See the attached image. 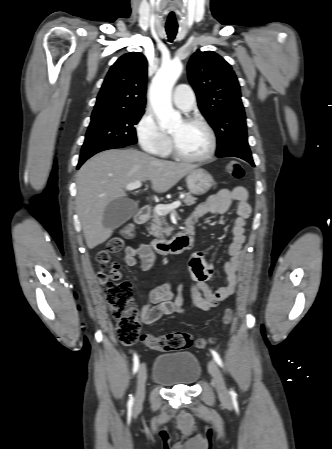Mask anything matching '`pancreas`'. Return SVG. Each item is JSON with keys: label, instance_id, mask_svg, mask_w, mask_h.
Instances as JSON below:
<instances>
[{"label": "pancreas", "instance_id": "cf45deb5", "mask_svg": "<svg viewBox=\"0 0 332 449\" xmlns=\"http://www.w3.org/2000/svg\"><path fill=\"white\" fill-rule=\"evenodd\" d=\"M183 201L185 205L190 206L195 204L196 198L189 193H185ZM151 218V226L148 228L150 235L157 238H163L165 235L169 236L171 234L172 229L168 227L164 215H160L154 210L151 214Z\"/></svg>", "mask_w": 332, "mask_h": 449}]
</instances>
